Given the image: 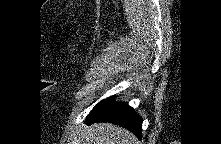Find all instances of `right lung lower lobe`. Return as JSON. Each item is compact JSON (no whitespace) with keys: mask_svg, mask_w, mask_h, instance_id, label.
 Returning <instances> with one entry per match:
<instances>
[{"mask_svg":"<svg viewBox=\"0 0 221 144\" xmlns=\"http://www.w3.org/2000/svg\"><path fill=\"white\" fill-rule=\"evenodd\" d=\"M86 121L89 124L95 122L118 124L141 139L142 119L127 103L116 102L113 97L98 103L87 116Z\"/></svg>","mask_w":221,"mask_h":144,"instance_id":"right-lung-lower-lobe-1","label":"right lung lower lobe"}]
</instances>
